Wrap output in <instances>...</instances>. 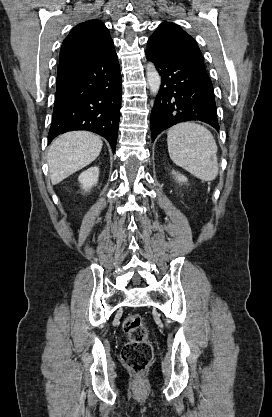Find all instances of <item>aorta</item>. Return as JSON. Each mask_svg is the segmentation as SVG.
<instances>
[{
  "label": "aorta",
  "instance_id": "1",
  "mask_svg": "<svg viewBox=\"0 0 272 417\" xmlns=\"http://www.w3.org/2000/svg\"><path fill=\"white\" fill-rule=\"evenodd\" d=\"M146 75L151 93L157 95L161 85V77L152 62L147 64Z\"/></svg>",
  "mask_w": 272,
  "mask_h": 417
}]
</instances>
